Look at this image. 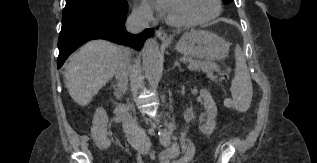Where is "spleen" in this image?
<instances>
[{
	"label": "spleen",
	"mask_w": 317,
	"mask_h": 163,
	"mask_svg": "<svg viewBox=\"0 0 317 163\" xmlns=\"http://www.w3.org/2000/svg\"><path fill=\"white\" fill-rule=\"evenodd\" d=\"M236 68L231 83V93L235 108L244 112L250 105L252 98V82L247 68L244 53L239 45L235 48Z\"/></svg>",
	"instance_id": "obj_1"
}]
</instances>
